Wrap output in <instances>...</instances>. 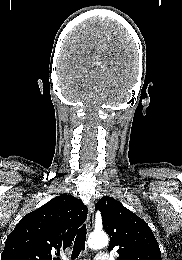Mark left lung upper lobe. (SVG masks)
Masks as SVG:
<instances>
[{
    "instance_id": "left-lung-upper-lobe-1",
    "label": "left lung upper lobe",
    "mask_w": 182,
    "mask_h": 260,
    "mask_svg": "<svg viewBox=\"0 0 182 260\" xmlns=\"http://www.w3.org/2000/svg\"><path fill=\"white\" fill-rule=\"evenodd\" d=\"M109 234V251L114 248L118 260H162L158 242L148 224L119 201L104 196L95 205Z\"/></svg>"
}]
</instances>
